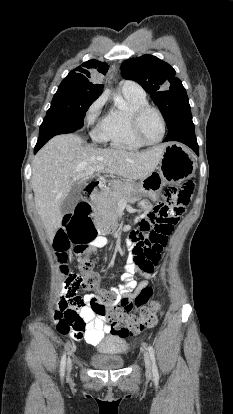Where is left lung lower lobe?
<instances>
[{
    "mask_svg": "<svg viewBox=\"0 0 233 414\" xmlns=\"http://www.w3.org/2000/svg\"><path fill=\"white\" fill-rule=\"evenodd\" d=\"M168 130L164 142L177 141L184 143L196 154H199L190 108L179 113L174 122L168 127Z\"/></svg>",
    "mask_w": 233,
    "mask_h": 414,
    "instance_id": "obj_1",
    "label": "left lung lower lobe"
}]
</instances>
